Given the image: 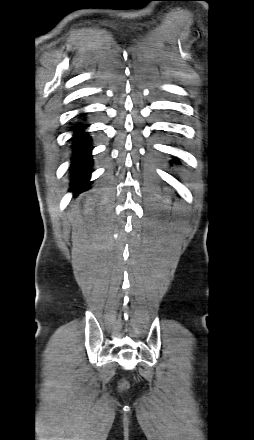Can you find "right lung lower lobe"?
<instances>
[{
  "label": "right lung lower lobe",
  "mask_w": 254,
  "mask_h": 440,
  "mask_svg": "<svg viewBox=\"0 0 254 440\" xmlns=\"http://www.w3.org/2000/svg\"><path fill=\"white\" fill-rule=\"evenodd\" d=\"M85 123H77L74 128V135L71 138L72 144V166L73 170L71 179V190L76 194L85 191L89 188V176L92 172V157L91 154V138L84 132L87 128Z\"/></svg>",
  "instance_id": "obj_1"
}]
</instances>
